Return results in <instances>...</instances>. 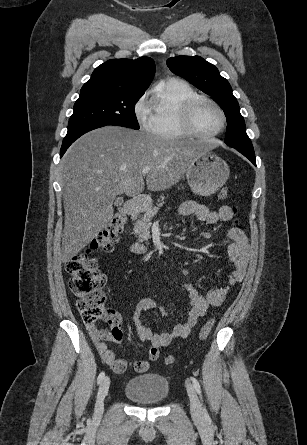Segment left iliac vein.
Returning a JSON list of instances; mask_svg holds the SVG:
<instances>
[{
  "instance_id": "4c4485c4",
  "label": "left iliac vein",
  "mask_w": 307,
  "mask_h": 445,
  "mask_svg": "<svg viewBox=\"0 0 307 445\" xmlns=\"http://www.w3.org/2000/svg\"><path fill=\"white\" fill-rule=\"evenodd\" d=\"M187 393L190 399V411L192 414V417L195 420L201 421L203 419V412H202V408H201V404L199 401V398L197 396V393L194 389V387L188 383L187 384Z\"/></svg>"
}]
</instances>
